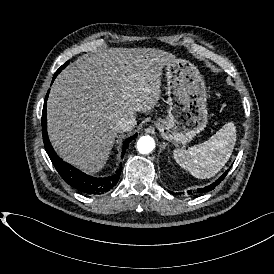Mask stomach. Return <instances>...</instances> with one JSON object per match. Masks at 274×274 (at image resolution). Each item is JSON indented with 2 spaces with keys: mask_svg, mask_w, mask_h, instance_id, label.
<instances>
[{
  "mask_svg": "<svg viewBox=\"0 0 274 274\" xmlns=\"http://www.w3.org/2000/svg\"><path fill=\"white\" fill-rule=\"evenodd\" d=\"M168 116L154 122L161 137L174 145L187 144L208 123L207 91L197 67L184 59L166 63Z\"/></svg>",
  "mask_w": 274,
  "mask_h": 274,
  "instance_id": "obj_1",
  "label": "stomach"
}]
</instances>
